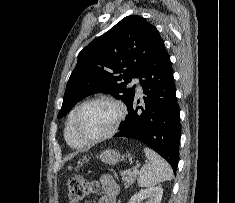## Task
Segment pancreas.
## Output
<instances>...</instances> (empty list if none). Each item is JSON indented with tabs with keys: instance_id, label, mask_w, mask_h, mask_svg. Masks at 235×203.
I'll list each match as a JSON object with an SVG mask.
<instances>
[{
	"instance_id": "pancreas-1",
	"label": "pancreas",
	"mask_w": 235,
	"mask_h": 203,
	"mask_svg": "<svg viewBox=\"0 0 235 203\" xmlns=\"http://www.w3.org/2000/svg\"><path fill=\"white\" fill-rule=\"evenodd\" d=\"M120 175L122 176V179L125 182V185L129 186L135 182L137 172H135L131 169H128V170H124V171L120 172Z\"/></svg>"
}]
</instances>
